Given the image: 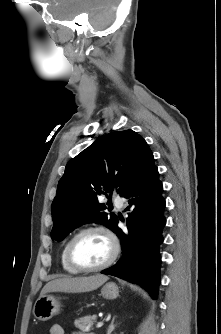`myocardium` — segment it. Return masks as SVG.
<instances>
[{"label": "myocardium", "mask_w": 221, "mask_h": 334, "mask_svg": "<svg viewBox=\"0 0 221 334\" xmlns=\"http://www.w3.org/2000/svg\"><path fill=\"white\" fill-rule=\"evenodd\" d=\"M91 231H99L104 233L110 240L111 242V246H112V250H111V254L108 257V259L97 266H92V267H84L81 266L79 264H77L72 256V248L73 245L75 243V241L83 234L87 233V232H91ZM120 251V243L119 240L116 236V234L107 226L105 225H99V224H94V225H89L86 227L81 228L79 231H77L72 237L71 239L68 241L67 243V247H66V260L68 262V264L74 268L75 270L79 271V272H97V271H101L104 270L106 268H108L110 265L113 264V262L116 260V258L118 257Z\"/></svg>", "instance_id": "myocardium-1"}]
</instances>
